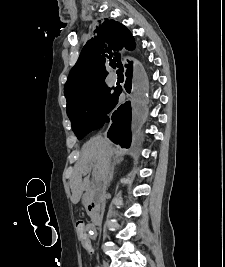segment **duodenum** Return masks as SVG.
Returning a JSON list of instances; mask_svg holds the SVG:
<instances>
[{
	"label": "duodenum",
	"instance_id": "1",
	"mask_svg": "<svg viewBox=\"0 0 225 267\" xmlns=\"http://www.w3.org/2000/svg\"><path fill=\"white\" fill-rule=\"evenodd\" d=\"M88 210L90 213L91 221L95 225L100 221V213L98 211L97 202L90 201L88 202Z\"/></svg>",
	"mask_w": 225,
	"mask_h": 267
}]
</instances>
